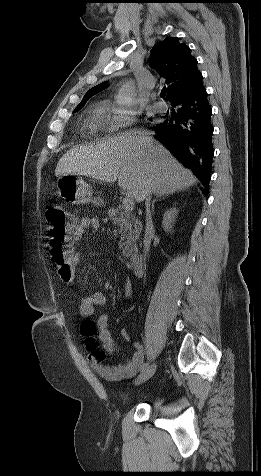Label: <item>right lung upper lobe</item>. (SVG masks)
Here are the masks:
<instances>
[{"instance_id":"obj_1","label":"right lung upper lobe","mask_w":261,"mask_h":476,"mask_svg":"<svg viewBox=\"0 0 261 476\" xmlns=\"http://www.w3.org/2000/svg\"><path fill=\"white\" fill-rule=\"evenodd\" d=\"M149 65L165 79L167 98L170 102L190 93L202 78L197 68V60L191 55L190 48L176 37L166 38L154 45ZM105 85L106 82H103L88 90L77 107L83 106Z\"/></svg>"}]
</instances>
